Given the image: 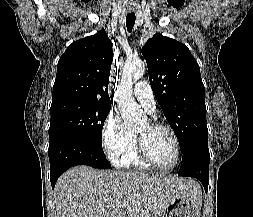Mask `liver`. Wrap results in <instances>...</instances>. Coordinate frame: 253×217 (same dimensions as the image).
<instances>
[{
  "mask_svg": "<svg viewBox=\"0 0 253 217\" xmlns=\"http://www.w3.org/2000/svg\"><path fill=\"white\" fill-rule=\"evenodd\" d=\"M56 217H159L170 201L193 197L202 203L200 184L177 176L95 170L76 166L58 179L54 188Z\"/></svg>",
  "mask_w": 253,
  "mask_h": 217,
  "instance_id": "liver-1",
  "label": "liver"
}]
</instances>
